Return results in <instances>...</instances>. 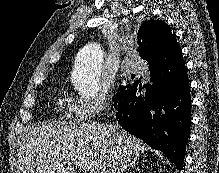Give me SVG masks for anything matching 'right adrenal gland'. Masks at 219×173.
Masks as SVG:
<instances>
[{
  "instance_id": "obj_1",
  "label": "right adrenal gland",
  "mask_w": 219,
  "mask_h": 173,
  "mask_svg": "<svg viewBox=\"0 0 219 173\" xmlns=\"http://www.w3.org/2000/svg\"><path fill=\"white\" fill-rule=\"evenodd\" d=\"M136 162H133L130 164V166L126 169V173L131 169V170H139V169H136Z\"/></svg>"
}]
</instances>
